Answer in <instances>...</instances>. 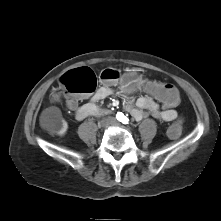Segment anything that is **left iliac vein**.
<instances>
[{
	"instance_id": "left-iliac-vein-1",
	"label": "left iliac vein",
	"mask_w": 221,
	"mask_h": 221,
	"mask_svg": "<svg viewBox=\"0 0 221 221\" xmlns=\"http://www.w3.org/2000/svg\"><path fill=\"white\" fill-rule=\"evenodd\" d=\"M112 124L115 125V126L119 125V123L116 122V121H113Z\"/></svg>"
}]
</instances>
